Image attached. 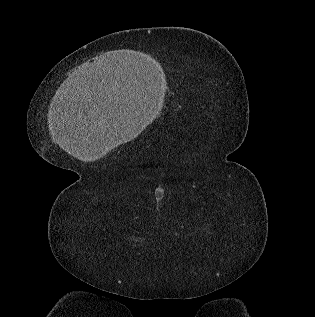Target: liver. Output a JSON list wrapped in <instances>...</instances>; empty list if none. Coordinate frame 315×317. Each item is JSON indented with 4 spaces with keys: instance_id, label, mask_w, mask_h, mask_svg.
Here are the masks:
<instances>
[{
    "instance_id": "6515ba94",
    "label": "liver",
    "mask_w": 315,
    "mask_h": 317,
    "mask_svg": "<svg viewBox=\"0 0 315 317\" xmlns=\"http://www.w3.org/2000/svg\"><path fill=\"white\" fill-rule=\"evenodd\" d=\"M76 136L73 137H69V138H62L60 140V145L69 153L73 154L76 157L82 158L81 155V150L79 148L80 144L84 145V139H81V143L79 141V143L75 140ZM118 144V143H116ZM107 150V149H106ZM106 150H102V153H96V155H94L95 158L102 156L103 154H105Z\"/></svg>"
}]
</instances>
